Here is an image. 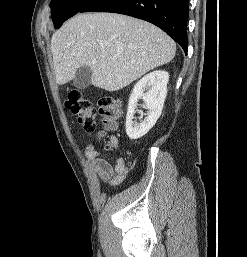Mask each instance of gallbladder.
<instances>
[{
  "mask_svg": "<svg viewBox=\"0 0 247 257\" xmlns=\"http://www.w3.org/2000/svg\"><path fill=\"white\" fill-rule=\"evenodd\" d=\"M92 69L91 67L81 66L76 71L73 79V85L78 89H85L91 83Z\"/></svg>",
  "mask_w": 247,
  "mask_h": 257,
  "instance_id": "1",
  "label": "gallbladder"
}]
</instances>
